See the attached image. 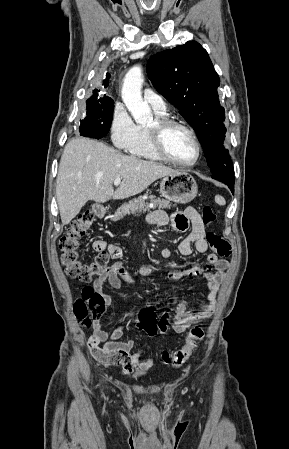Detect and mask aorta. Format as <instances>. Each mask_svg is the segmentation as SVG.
<instances>
[{
    "instance_id": "obj_1",
    "label": "aorta",
    "mask_w": 289,
    "mask_h": 449,
    "mask_svg": "<svg viewBox=\"0 0 289 449\" xmlns=\"http://www.w3.org/2000/svg\"><path fill=\"white\" fill-rule=\"evenodd\" d=\"M142 69L135 65L127 72L122 87V99L137 124L145 125L152 121L151 109L141 96L143 84Z\"/></svg>"
}]
</instances>
